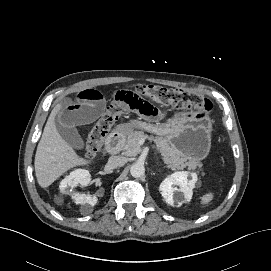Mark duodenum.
<instances>
[{"mask_svg":"<svg viewBox=\"0 0 271 271\" xmlns=\"http://www.w3.org/2000/svg\"><path fill=\"white\" fill-rule=\"evenodd\" d=\"M123 142V130L121 128L112 131L106 139V149L112 155L120 152Z\"/></svg>","mask_w":271,"mask_h":271,"instance_id":"duodenum-1","label":"duodenum"}]
</instances>
